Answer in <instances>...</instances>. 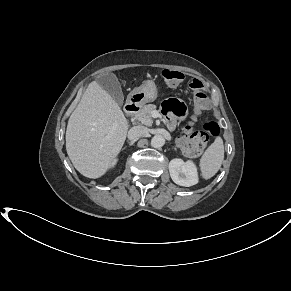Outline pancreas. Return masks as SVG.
<instances>
[{
    "label": "pancreas",
    "mask_w": 291,
    "mask_h": 291,
    "mask_svg": "<svg viewBox=\"0 0 291 291\" xmlns=\"http://www.w3.org/2000/svg\"><path fill=\"white\" fill-rule=\"evenodd\" d=\"M156 110V105L148 104L136 114V119L146 126H151L153 123L152 112Z\"/></svg>",
    "instance_id": "cf45deb5"
}]
</instances>
